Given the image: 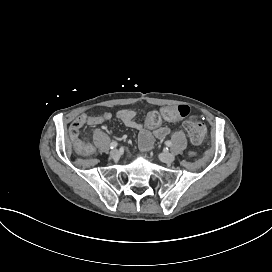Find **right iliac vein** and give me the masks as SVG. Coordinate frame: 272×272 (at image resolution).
<instances>
[{
	"label": "right iliac vein",
	"mask_w": 272,
	"mask_h": 272,
	"mask_svg": "<svg viewBox=\"0 0 272 272\" xmlns=\"http://www.w3.org/2000/svg\"><path fill=\"white\" fill-rule=\"evenodd\" d=\"M111 158L117 159L120 157V152L117 149H114L110 152Z\"/></svg>",
	"instance_id": "right-iliac-vein-1"
}]
</instances>
